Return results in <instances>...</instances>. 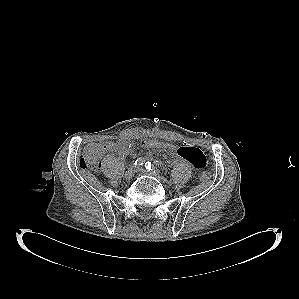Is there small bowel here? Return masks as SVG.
Masks as SVG:
<instances>
[{"instance_id":"1","label":"small bowel","mask_w":299,"mask_h":299,"mask_svg":"<svg viewBox=\"0 0 299 299\" xmlns=\"http://www.w3.org/2000/svg\"><path fill=\"white\" fill-rule=\"evenodd\" d=\"M107 145L115 146L113 151L119 152L121 155L125 156L130 152V142L128 139L124 138L121 141L115 142H107ZM141 148H160V149H168L177 154L181 159L189 162L195 169H203L206 166V157L203 152L197 147L191 144H184L183 146H176L169 142H159V141H150L147 139H143L140 142ZM111 151V150H108Z\"/></svg>"}]
</instances>
